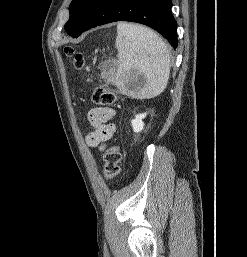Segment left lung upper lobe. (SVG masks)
I'll return each mask as SVG.
<instances>
[{
	"instance_id": "left-lung-upper-lobe-1",
	"label": "left lung upper lobe",
	"mask_w": 247,
	"mask_h": 257,
	"mask_svg": "<svg viewBox=\"0 0 247 257\" xmlns=\"http://www.w3.org/2000/svg\"><path fill=\"white\" fill-rule=\"evenodd\" d=\"M96 1L72 0L69 6L70 18L65 24V30L70 36L79 30Z\"/></svg>"
}]
</instances>
